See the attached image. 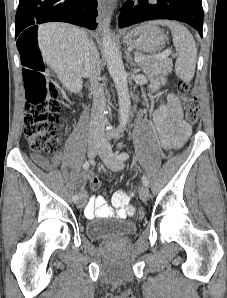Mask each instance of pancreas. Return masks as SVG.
<instances>
[{
	"label": "pancreas",
	"instance_id": "pancreas-1",
	"mask_svg": "<svg viewBox=\"0 0 227 298\" xmlns=\"http://www.w3.org/2000/svg\"><path fill=\"white\" fill-rule=\"evenodd\" d=\"M136 55L144 58L138 65L146 75L167 74L172 71L173 63L171 59H153L141 53H136Z\"/></svg>",
	"mask_w": 227,
	"mask_h": 298
}]
</instances>
